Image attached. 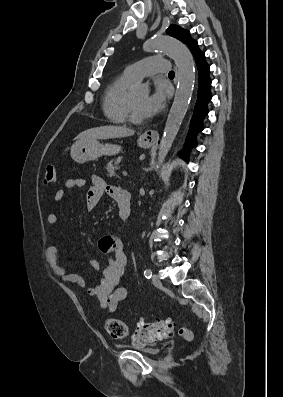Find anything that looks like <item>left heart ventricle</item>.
I'll list each match as a JSON object with an SVG mask.
<instances>
[{"instance_id": "left-heart-ventricle-1", "label": "left heart ventricle", "mask_w": 283, "mask_h": 397, "mask_svg": "<svg viewBox=\"0 0 283 397\" xmlns=\"http://www.w3.org/2000/svg\"><path fill=\"white\" fill-rule=\"evenodd\" d=\"M131 97H132V101H133V105H134L136 114L139 117L144 118L145 116L142 113V104H143L144 100L146 99L147 95L145 93H140V94H134Z\"/></svg>"}]
</instances>
